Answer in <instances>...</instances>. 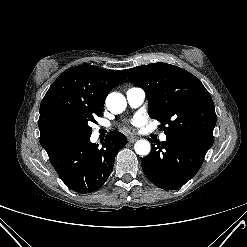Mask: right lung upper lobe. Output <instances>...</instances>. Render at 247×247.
Listing matches in <instances>:
<instances>
[{
    "label": "right lung upper lobe",
    "mask_w": 247,
    "mask_h": 247,
    "mask_svg": "<svg viewBox=\"0 0 247 247\" xmlns=\"http://www.w3.org/2000/svg\"><path fill=\"white\" fill-rule=\"evenodd\" d=\"M126 82L119 70L87 64L65 70L50 86L40 106L41 146L50 153L61 144L54 137V126L59 120L90 112L102 113L109 91Z\"/></svg>",
    "instance_id": "1"
}]
</instances>
